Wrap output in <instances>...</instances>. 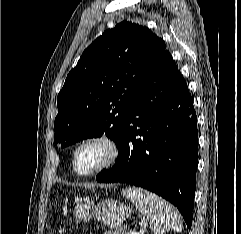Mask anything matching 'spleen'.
<instances>
[{
	"label": "spleen",
	"mask_w": 241,
	"mask_h": 234,
	"mask_svg": "<svg viewBox=\"0 0 241 234\" xmlns=\"http://www.w3.org/2000/svg\"><path fill=\"white\" fill-rule=\"evenodd\" d=\"M121 194L132 201L146 217L154 234H164L170 229L175 232L182 231L183 226L179 213L163 198L134 186L126 187Z\"/></svg>",
	"instance_id": "spleen-1"
}]
</instances>
